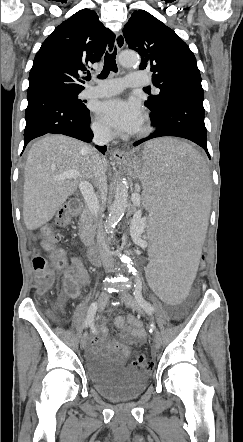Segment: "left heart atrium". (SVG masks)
Here are the masks:
<instances>
[{
	"label": "left heart atrium",
	"mask_w": 243,
	"mask_h": 442,
	"mask_svg": "<svg viewBox=\"0 0 243 442\" xmlns=\"http://www.w3.org/2000/svg\"><path fill=\"white\" fill-rule=\"evenodd\" d=\"M98 113L107 125L124 133L138 131L143 122L141 106L135 100L107 99L99 104Z\"/></svg>",
	"instance_id": "1"
}]
</instances>
